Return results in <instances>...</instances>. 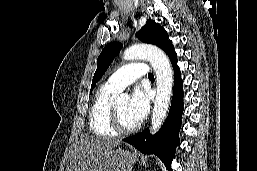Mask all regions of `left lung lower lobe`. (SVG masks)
Here are the masks:
<instances>
[{"label": "left lung lower lobe", "instance_id": "left-lung-lower-lobe-1", "mask_svg": "<svg viewBox=\"0 0 257 171\" xmlns=\"http://www.w3.org/2000/svg\"><path fill=\"white\" fill-rule=\"evenodd\" d=\"M168 56L174 69V89L171 108L165 123L154 136H151L149 130H147L125 138L123 141L134 145L143 154H155L166 165V168L172 171L171 162L174 158L175 149L180 143L178 134L183 110V91L175 51Z\"/></svg>", "mask_w": 257, "mask_h": 171}]
</instances>
